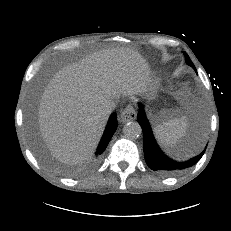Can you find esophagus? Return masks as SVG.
I'll return each instance as SVG.
<instances>
[{"mask_svg":"<svg viewBox=\"0 0 231 231\" xmlns=\"http://www.w3.org/2000/svg\"><path fill=\"white\" fill-rule=\"evenodd\" d=\"M137 117V112L134 107L130 104L128 105L120 114V121L125 123L132 121Z\"/></svg>","mask_w":231,"mask_h":231,"instance_id":"esophagus-1","label":"esophagus"}]
</instances>
